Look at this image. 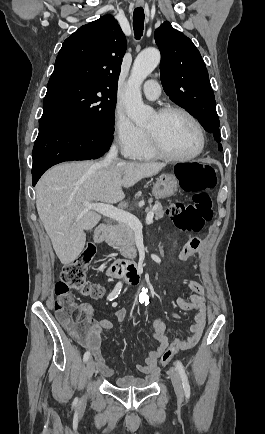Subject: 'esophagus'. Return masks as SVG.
Masks as SVG:
<instances>
[{
	"label": "esophagus",
	"instance_id": "esophagus-1",
	"mask_svg": "<svg viewBox=\"0 0 265 434\" xmlns=\"http://www.w3.org/2000/svg\"><path fill=\"white\" fill-rule=\"evenodd\" d=\"M136 6H137V7H142V6H143V3H138V2H137V3H136Z\"/></svg>",
	"mask_w": 265,
	"mask_h": 434
}]
</instances>
